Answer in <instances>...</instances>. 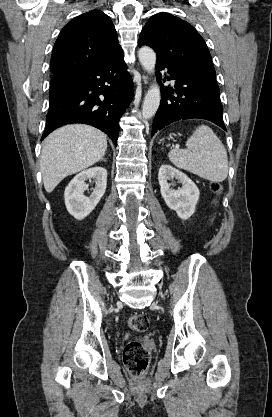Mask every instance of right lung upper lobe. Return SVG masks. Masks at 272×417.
<instances>
[{
    "label": "right lung upper lobe",
    "mask_w": 272,
    "mask_h": 417,
    "mask_svg": "<svg viewBox=\"0 0 272 417\" xmlns=\"http://www.w3.org/2000/svg\"><path fill=\"white\" fill-rule=\"evenodd\" d=\"M121 49L109 16L93 10L82 14L60 32L53 48L52 74L95 67Z\"/></svg>",
    "instance_id": "obj_1"
}]
</instances>
